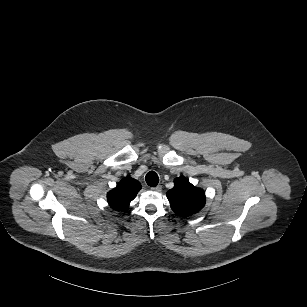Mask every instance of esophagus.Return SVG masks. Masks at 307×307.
Listing matches in <instances>:
<instances>
[{"instance_id":"obj_1","label":"esophagus","mask_w":307,"mask_h":307,"mask_svg":"<svg viewBox=\"0 0 307 307\" xmlns=\"http://www.w3.org/2000/svg\"><path fill=\"white\" fill-rule=\"evenodd\" d=\"M152 190L155 191V192H160L162 190V186L157 185V186L153 187Z\"/></svg>"}]
</instances>
